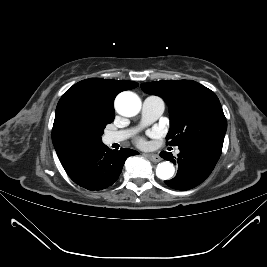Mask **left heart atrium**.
Returning <instances> with one entry per match:
<instances>
[{"instance_id":"obj_1","label":"left heart atrium","mask_w":267,"mask_h":267,"mask_svg":"<svg viewBox=\"0 0 267 267\" xmlns=\"http://www.w3.org/2000/svg\"><path fill=\"white\" fill-rule=\"evenodd\" d=\"M138 143H139L140 145H142V146L145 145V141H144L143 139H139V140H138Z\"/></svg>"}]
</instances>
